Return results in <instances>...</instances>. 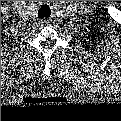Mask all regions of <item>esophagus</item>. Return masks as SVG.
<instances>
[{
	"instance_id": "34e87169",
	"label": "esophagus",
	"mask_w": 121,
	"mask_h": 121,
	"mask_svg": "<svg viewBox=\"0 0 121 121\" xmlns=\"http://www.w3.org/2000/svg\"><path fill=\"white\" fill-rule=\"evenodd\" d=\"M43 23L49 24V21L48 20H43Z\"/></svg>"
}]
</instances>
